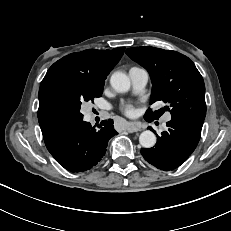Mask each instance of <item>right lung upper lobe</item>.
<instances>
[{
  "label": "right lung upper lobe",
  "mask_w": 231,
  "mask_h": 231,
  "mask_svg": "<svg viewBox=\"0 0 231 231\" xmlns=\"http://www.w3.org/2000/svg\"><path fill=\"white\" fill-rule=\"evenodd\" d=\"M125 48L113 50L88 49L69 54L55 62L47 71L39 89L38 121L47 138L59 128L72 123L55 99L57 87L67 80L85 78L105 82L109 72L118 63Z\"/></svg>",
  "instance_id": "obj_1"
}]
</instances>
